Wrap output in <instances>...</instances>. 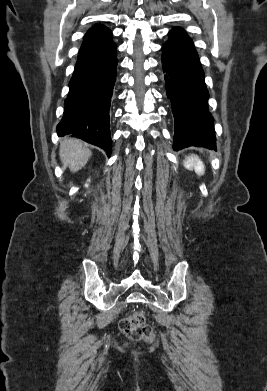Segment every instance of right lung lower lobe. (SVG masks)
I'll use <instances>...</instances> for the list:
<instances>
[{"instance_id": "98d812e1", "label": "right lung lower lobe", "mask_w": 267, "mask_h": 391, "mask_svg": "<svg viewBox=\"0 0 267 391\" xmlns=\"http://www.w3.org/2000/svg\"><path fill=\"white\" fill-rule=\"evenodd\" d=\"M116 45L78 57L58 136L69 135L111 153L109 111L116 81Z\"/></svg>"}]
</instances>
